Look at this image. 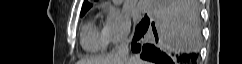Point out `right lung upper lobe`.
<instances>
[{
	"instance_id": "cb5924a9",
	"label": "right lung upper lobe",
	"mask_w": 242,
	"mask_h": 64,
	"mask_svg": "<svg viewBox=\"0 0 242 64\" xmlns=\"http://www.w3.org/2000/svg\"><path fill=\"white\" fill-rule=\"evenodd\" d=\"M92 5L90 3H88L87 1H85L83 3V7L81 9V12H86Z\"/></svg>"
}]
</instances>
